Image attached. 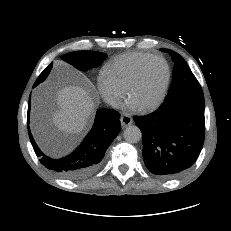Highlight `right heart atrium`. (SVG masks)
I'll return each instance as SVG.
<instances>
[{
	"instance_id": "1",
	"label": "right heart atrium",
	"mask_w": 231,
	"mask_h": 231,
	"mask_svg": "<svg viewBox=\"0 0 231 231\" xmlns=\"http://www.w3.org/2000/svg\"><path fill=\"white\" fill-rule=\"evenodd\" d=\"M98 87L104 100L111 106H118L125 96L126 90L104 71L99 75Z\"/></svg>"
}]
</instances>
